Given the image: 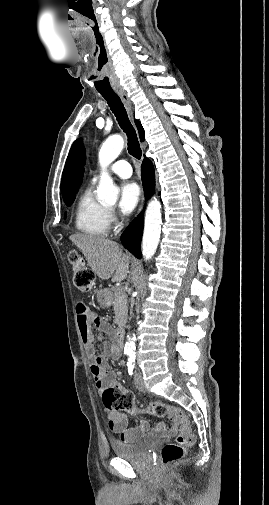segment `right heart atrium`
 I'll list each match as a JSON object with an SVG mask.
<instances>
[{"label":"right heart atrium","instance_id":"right-heart-atrium-1","mask_svg":"<svg viewBox=\"0 0 269 505\" xmlns=\"http://www.w3.org/2000/svg\"><path fill=\"white\" fill-rule=\"evenodd\" d=\"M108 218L110 223H114L116 220V216L113 210H108Z\"/></svg>","mask_w":269,"mask_h":505}]
</instances>
